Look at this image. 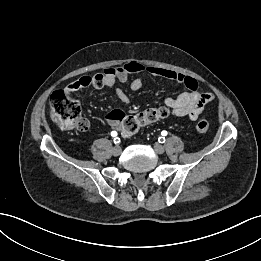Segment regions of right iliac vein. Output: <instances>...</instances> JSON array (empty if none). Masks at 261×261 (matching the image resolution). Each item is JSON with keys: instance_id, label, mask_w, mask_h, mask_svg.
<instances>
[{"instance_id": "obj_1", "label": "right iliac vein", "mask_w": 261, "mask_h": 261, "mask_svg": "<svg viewBox=\"0 0 261 261\" xmlns=\"http://www.w3.org/2000/svg\"><path fill=\"white\" fill-rule=\"evenodd\" d=\"M121 152H122V149L119 145L113 147V149H112V154L114 156H119L121 154Z\"/></svg>"}]
</instances>
